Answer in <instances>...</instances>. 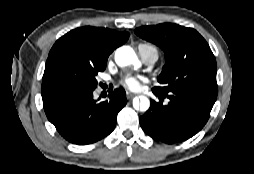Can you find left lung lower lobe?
<instances>
[{
	"label": "left lung lower lobe",
	"instance_id": "left-lung-lower-lobe-1",
	"mask_svg": "<svg viewBox=\"0 0 254 174\" xmlns=\"http://www.w3.org/2000/svg\"><path fill=\"white\" fill-rule=\"evenodd\" d=\"M152 91L159 99L167 97L170 102L163 105L152 100L149 110L139 119L140 125L150 137L168 144L185 141L199 132L217 97L191 89L168 94Z\"/></svg>",
	"mask_w": 254,
	"mask_h": 174
}]
</instances>
